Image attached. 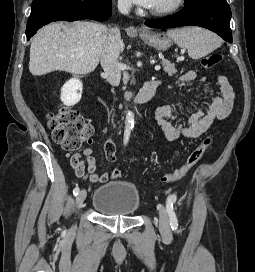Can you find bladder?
<instances>
[{
	"label": "bladder",
	"instance_id": "31cf9c89",
	"mask_svg": "<svg viewBox=\"0 0 255 272\" xmlns=\"http://www.w3.org/2000/svg\"><path fill=\"white\" fill-rule=\"evenodd\" d=\"M140 205L139 190L133 183L124 180L101 185L92 198V206L105 216H132Z\"/></svg>",
	"mask_w": 255,
	"mask_h": 272
}]
</instances>
